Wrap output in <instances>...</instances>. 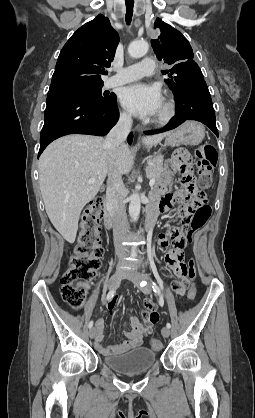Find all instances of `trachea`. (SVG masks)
Masks as SVG:
<instances>
[{"mask_svg": "<svg viewBox=\"0 0 255 418\" xmlns=\"http://www.w3.org/2000/svg\"><path fill=\"white\" fill-rule=\"evenodd\" d=\"M126 4V23L129 25L133 16L134 0H125Z\"/></svg>", "mask_w": 255, "mask_h": 418, "instance_id": "3493384b", "label": "trachea"}]
</instances>
